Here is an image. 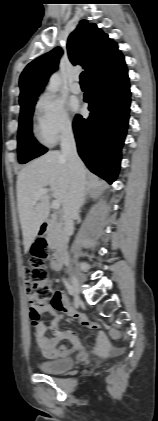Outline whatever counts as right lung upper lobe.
<instances>
[{"label": "right lung upper lobe", "instance_id": "cb5924a9", "mask_svg": "<svg viewBox=\"0 0 158 421\" xmlns=\"http://www.w3.org/2000/svg\"><path fill=\"white\" fill-rule=\"evenodd\" d=\"M67 51L70 61L83 66L88 77L92 76L114 58L117 43L94 23L87 20L79 25L68 38ZM62 54L60 48L38 57L27 65L20 76V105L36 99L46 85L49 76L57 69Z\"/></svg>", "mask_w": 158, "mask_h": 421}]
</instances>
